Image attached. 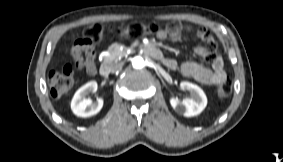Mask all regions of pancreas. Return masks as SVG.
<instances>
[{"label":"pancreas","mask_w":283,"mask_h":162,"mask_svg":"<svg viewBox=\"0 0 283 162\" xmlns=\"http://www.w3.org/2000/svg\"><path fill=\"white\" fill-rule=\"evenodd\" d=\"M108 53L109 55L104 57V63L117 61L125 55V52L120 51L116 46L110 47Z\"/></svg>","instance_id":"obj_1"}]
</instances>
